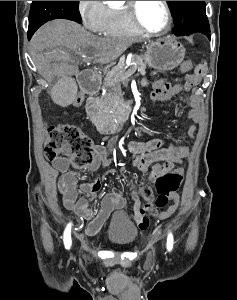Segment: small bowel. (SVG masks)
Masks as SVG:
<instances>
[{"label": "small bowel", "mask_w": 237, "mask_h": 300, "mask_svg": "<svg viewBox=\"0 0 237 300\" xmlns=\"http://www.w3.org/2000/svg\"><path fill=\"white\" fill-rule=\"evenodd\" d=\"M204 72L205 64H199L195 73L185 81L184 90L189 92L192 87L197 85L202 80ZM166 83L169 82L158 80L152 84V88L155 89ZM180 89V85H176V88L163 100H168L172 96L177 95ZM82 99L83 96L79 94L74 100L73 105H79ZM184 101L186 105L192 107L188 113L189 118L193 122L188 131V138L193 139L196 130L195 123L198 121V110L194 107V100L190 95H187ZM126 151L131 155L132 164L141 172L149 173L153 179H155V176L167 171L184 173L183 167L174 168V165L175 163H182V160L189 156L186 147L171 144L166 145L161 138H153L145 142L132 140L127 143ZM111 163L110 149L106 146L98 145L94 148V158L85 167V172L91 175L105 169ZM52 165L55 170L61 173L58 178V190L62 196L64 207L76 213L81 219L89 221L85 229L87 235L92 236L97 234L104 226L111 212L122 208L124 204L122 191L117 187H113L102 198L99 210L95 212L90 207L87 198L78 196V189L88 194L92 199L96 198L97 193L102 187V174L100 173L95 180L83 182V176L80 171L70 170V160L66 156L57 157L52 161ZM132 197L134 200L135 219L139 228L144 230L149 226V219L147 217L149 207L141 206V201L134 190L132 191ZM177 207L178 200H175L174 204L160 214V217L163 219L170 217L176 211Z\"/></svg>", "instance_id": "c3829d8e"}]
</instances>
